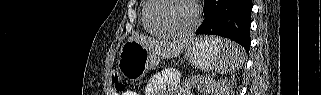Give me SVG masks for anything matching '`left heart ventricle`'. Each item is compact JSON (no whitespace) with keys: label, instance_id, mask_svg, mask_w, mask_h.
Here are the masks:
<instances>
[{"label":"left heart ventricle","instance_id":"b2bd125f","mask_svg":"<svg viewBox=\"0 0 321 95\" xmlns=\"http://www.w3.org/2000/svg\"><path fill=\"white\" fill-rule=\"evenodd\" d=\"M151 16L157 25L177 31L187 29L193 21L192 8L183 0L158 1Z\"/></svg>","mask_w":321,"mask_h":95}]
</instances>
